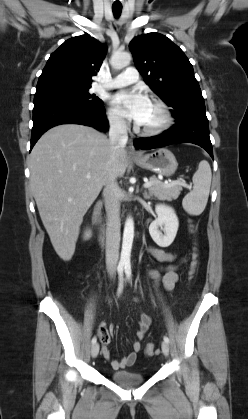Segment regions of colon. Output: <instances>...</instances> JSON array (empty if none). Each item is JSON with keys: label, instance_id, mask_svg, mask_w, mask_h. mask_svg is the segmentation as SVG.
Returning <instances> with one entry per match:
<instances>
[{"label": "colon", "instance_id": "obj_1", "mask_svg": "<svg viewBox=\"0 0 248 419\" xmlns=\"http://www.w3.org/2000/svg\"><path fill=\"white\" fill-rule=\"evenodd\" d=\"M198 259H199V253H198V250L196 249L194 254H193V260L191 262L190 269H189L190 280H192L196 275L198 264H199ZM105 334H106V331L100 330V338L101 339H103L105 337ZM145 353L148 356L154 355L156 353L155 345L153 343L147 344L146 349H145Z\"/></svg>", "mask_w": 248, "mask_h": 419}]
</instances>
